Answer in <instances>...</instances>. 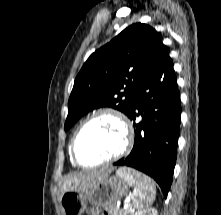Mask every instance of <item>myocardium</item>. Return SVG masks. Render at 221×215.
<instances>
[{
	"label": "myocardium",
	"mask_w": 221,
	"mask_h": 215,
	"mask_svg": "<svg viewBox=\"0 0 221 215\" xmlns=\"http://www.w3.org/2000/svg\"><path fill=\"white\" fill-rule=\"evenodd\" d=\"M102 116L112 117L120 124V126L123 130V134H124L123 145L118 152H116L115 154H113L112 156H110L109 158H107L105 160H102L97 163H92V164L83 163L79 159L77 151H76V143H77L78 137H79L80 133L82 132V130L90 122H92L93 120H95L99 117H102ZM133 142H134V130H133V127H132L131 123L129 122L128 118L118 109L106 107V108H102V109L97 110L96 112H94L93 114L88 116L79 125V127L74 132L73 137L71 139L70 154H71L73 162L75 164H77L78 166L85 167V168L97 167V166H101L104 164L114 162V161L120 159L121 157L125 156L131 150V148L133 146Z\"/></svg>",
	"instance_id": "f54148a6"
}]
</instances>
